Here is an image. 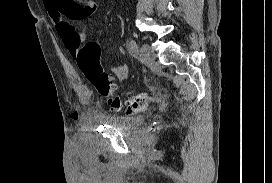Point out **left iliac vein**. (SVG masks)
Wrapping results in <instances>:
<instances>
[{"instance_id":"1","label":"left iliac vein","mask_w":272,"mask_h":183,"mask_svg":"<svg viewBox=\"0 0 272 183\" xmlns=\"http://www.w3.org/2000/svg\"><path fill=\"white\" fill-rule=\"evenodd\" d=\"M140 52L142 62L147 66H153L156 59L154 50L149 45L143 44L141 46Z\"/></svg>"}]
</instances>
